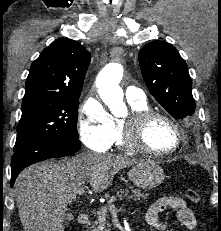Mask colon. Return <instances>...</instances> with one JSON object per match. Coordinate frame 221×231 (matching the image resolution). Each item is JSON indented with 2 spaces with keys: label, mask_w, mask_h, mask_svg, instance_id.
Segmentation results:
<instances>
[{
  "label": "colon",
  "mask_w": 221,
  "mask_h": 231,
  "mask_svg": "<svg viewBox=\"0 0 221 231\" xmlns=\"http://www.w3.org/2000/svg\"><path fill=\"white\" fill-rule=\"evenodd\" d=\"M186 196L190 200V202H192L193 204H199L201 202V196L194 189H191V188L187 189Z\"/></svg>",
  "instance_id": "colon-1"
}]
</instances>
